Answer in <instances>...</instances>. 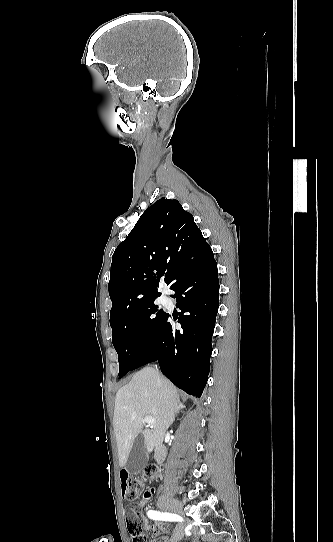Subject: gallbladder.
I'll return each mask as SVG.
<instances>
[{"label": "gallbladder", "instance_id": "bac80fb5", "mask_svg": "<svg viewBox=\"0 0 333 542\" xmlns=\"http://www.w3.org/2000/svg\"><path fill=\"white\" fill-rule=\"evenodd\" d=\"M148 462L147 450L144 442L143 434H139L135 438L133 448L128 456L126 462V470L130 476H136L139 472H142Z\"/></svg>", "mask_w": 333, "mask_h": 542}]
</instances>
